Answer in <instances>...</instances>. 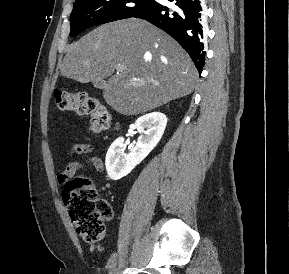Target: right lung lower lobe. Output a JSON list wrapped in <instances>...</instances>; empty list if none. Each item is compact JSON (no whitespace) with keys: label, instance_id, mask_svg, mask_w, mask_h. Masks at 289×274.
<instances>
[{"label":"right lung lower lobe","instance_id":"98d812e1","mask_svg":"<svg viewBox=\"0 0 289 274\" xmlns=\"http://www.w3.org/2000/svg\"><path fill=\"white\" fill-rule=\"evenodd\" d=\"M171 7L154 3L135 18L144 19L171 35L188 52L199 74L204 61V13L201 0H168Z\"/></svg>","mask_w":289,"mask_h":274}]
</instances>
